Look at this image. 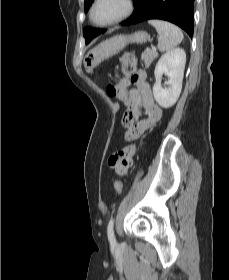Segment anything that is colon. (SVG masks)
I'll return each mask as SVG.
<instances>
[{
  "instance_id": "obj_1",
  "label": "colon",
  "mask_w": 229,
  "mask_h": 280,
  "mask_svg": "<svg viewBox=\"0 0 229 280\" xmlns=\"http://www.w3.org/2000/svg\"><path fill=\"white\" fill-rule=\"evenodd\" d=\"M120 61L122 63V73L125 76L127 82L139 83L144 79V72L137 68L135 56L131 52L124 53ZM131 122V118L125 116L124 124L128 125ZM124 151H116L112 153L109 157L108 163L114 170L121 174L124 173L127 165L128 159L125 157ZM114 188L117 193H121L123 190V184L121 181H116Z\"/></svg>"
}]
</instances>
